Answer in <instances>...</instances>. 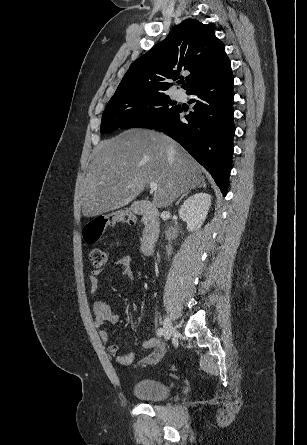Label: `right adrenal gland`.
Listing matches in <instances>:
<instances>
[{
  "mask_svg": "<svg viewBox=\"0 0 307 445\" xmlns=\"http://www.w3.org/2000/svg\"><path fill=\"white\" fill-rule=\"evenodd\" d=\"M201 186H206V184H201ZM196 188H200V186H196ZM189 192H191V190H188V192H184V194H182V196H180V198H178L177 202H175V204H179L180 200H182V198H184V196H186V194H189Z\"/></svg>",
  "mask_w": 307,
  "mask_h": 445,
  "instance_id": "2a0ac1e0",
  "label": "right adrenal gland"
}]
</instances>
